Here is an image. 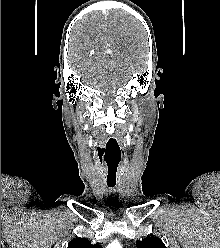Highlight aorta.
<instances>
[{
    "label": "aorta",
    "instance_id": "762f6f07",
    "mask_svg": "<svg viewBox=\"0 0 220 248\" xmlns=\"http://www.w3.org/2000/svg\"><path fill=\"white\" fill-rule=\"evenodd\" d=\"M107 248H122V247L118 241H113L107 246Z\"/></svg>",
    "mask_w": 220,
    "mask_h": 248
}]
</instances>
